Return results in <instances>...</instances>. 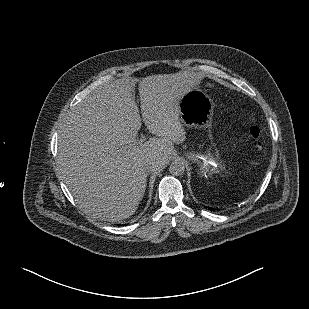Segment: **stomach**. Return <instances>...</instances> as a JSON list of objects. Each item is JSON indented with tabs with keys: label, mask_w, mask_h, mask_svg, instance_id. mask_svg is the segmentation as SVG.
I'll use <instances>...</instances> for the list:
<instances>
[{
	"label": "stomach",
	"mask_w": 309,
	"mask_h": 309,
	"mask_svg": "<svg viewBox=\"0 0 309 309\" xmlns=\"http://www.w3.org/2000/svg\"><path fill=\"white\" fill-rule=\"evenodd\" d=\"M212 110L209 99L192 92L178 106L179 120L186 127H204L211 120Z\"/></svg>",
	"instance_id": "0dacf381"
}]
</instances>
